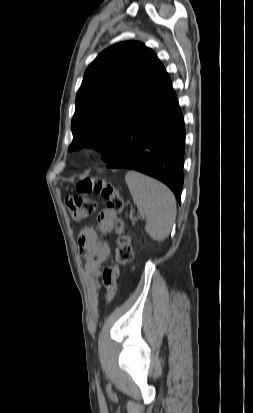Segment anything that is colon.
<instances>
[{
    "label": "colon",
    "mask_w": 253,
    "mask_h": 413,
    "mask_svg": "<svg viewBox=\"0 0 253 413\" xmlns=\"http://www.w3.org/2000/svg\"><path fill=\"white\" fill-rule=\"evenodd\" d=\"M91 193L100 194L106 200L108 209L118 215L115 260L119 266H125L133 259V248L130 238L124 234V222L120 217L124 209V202L113 185L101 178H86L79 181L76 185L75 195L66 199L70 214L77 221L89 218L96 208L94 200L90 197Z\"/></svg>",
    "instance_id": "1"
}]
</instances>
